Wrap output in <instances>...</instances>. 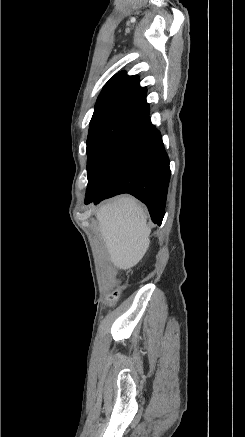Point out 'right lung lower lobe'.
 <instances>
[{
    "label": "right lung lower lobe",
    "instance_id": "1",
    "mask_svg": "<svg viewBox=\"0 0 245 437\" xmlns=\"http://www.w3.org/2000/svg\"><path fill=\"white\" fill-rule=\"evenodd\" d=\"M170 181L169 159L149 112L110 148L88 180L85 204L129 193L148 208L161 225Z\"/></svg>",
    "mask_w": 245,
    "mask_h": 437
}]
</instances>
